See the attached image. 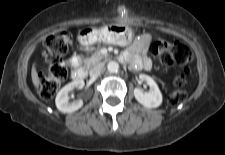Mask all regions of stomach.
<instances>
[{
    "label": "stomach",
    "instance_id": "obj_1",
    "mask_svg": "<svg viewBox=\"0 0 225 155\" xmlns=\"http://www.w3.org/2000/svg\"><path fill=\"white\" fill-rule=\"evenodd\" d=\"M79 40L83 45L96 42L127 46L133 40V33L129 27L111 24L100 29H83L79 32Z\"/></svg>",
    "mask_w": 225,
    "mask_h": 155
}]
</instances>
